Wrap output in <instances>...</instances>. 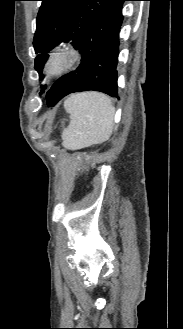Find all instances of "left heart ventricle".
I'll use <instances>...</instances> for the list:
<instances>
[{"label": "left heart ventricle", "mask_w": 183, "mask_h": 329, "mask_svg": "<svg viewBox=\"0 0 183 329\" xmlns=\"http://www.w3.org/2000/svg\"><path fill=\"white\" fill-rule=\"evenodd\" d=\"M62 63H63V60L58 59L54 62V67H59L60 65H62Z\"/></svg>", "instance_id": "1"}]
</instances>
